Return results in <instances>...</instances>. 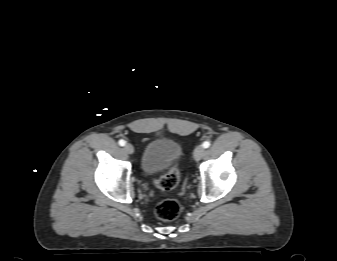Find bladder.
Returning a JSON list of instances; mask_svg holds the SVG:
<instances>
[{
    "instance_id": "1",
    "label": "bladder",
    "mask_w": 337,
    "mask_h": 261,
    "mask_svg": "<svg viewBox=\"0 0 337 261\" xmlns=\"http://www.w3.org/2000/svg\"><path fill=\"white\" fill-rule=\"evenodd\" d=\"M183 155L179 142L158 136L144 147L140 158V170L145 176L155 175L176 164Z\"/></svg>"
}]
</instances>
